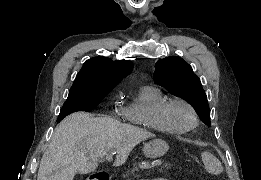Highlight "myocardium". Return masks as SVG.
<instances>
[{
    "label": "myocardium",
    "instance_id": "1",
    "mask_svg": "<svg viewBox=\"0 0 261 180\" xmlns=\"http://www.w3.org/2000/svg\"><path fill=\"white\" fill-rule=\"evenodd\" d=\"M173 106H181L187 109L190 115V121L187 125L177 126L170 122L165 117V111ZM157 118L160 123V126L169 133L174 134H186L193 130L198 124V112L193 104L189 101L182 98H172L168 99L158 110H157Z\"/></svg>",
    "mask_w": 261,
    "mask_h": 180
}]
</instances>
